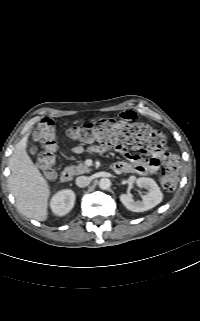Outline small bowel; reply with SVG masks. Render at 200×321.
<instances>
[{
	"instance_id": "obj_1",
	"label": "small bowel",
	"mask_w": 200,
	"mask_h": 321,
	"mask_svg": "<svg viewBox=\"0 0 200 321\" xmlns=\"http://www.w3.org/2000/svg\"><path fill=\"white\" fill-rule=\"evenodd\" d=\"M124 117L132 118L135 117L134 112L127 111L123 114ZM106 148L118 150L117 147L106 145ZM82 149L81 147L77 148V151L80 152ZM120 152L119 150L117 151ZM125 156L128 158L129 162H117L112 165V170L116 172H123V173H135L141 176L149 175L155 173L161 161H163V157L161 152L154 151L150 157L144 158L139 155H131L125 151Z\"/></svg>"
}]
</instances>
